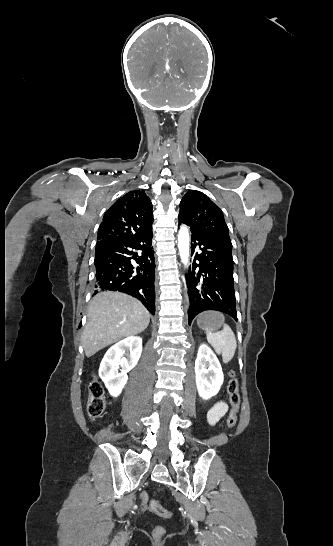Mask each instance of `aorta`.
<instances>
[{"label":"aorta","mask_w":333,"mask_h":546,"mask_svg":"<svg viewBox=\"0 0 333 546\" xmlns=\"http://www.w3.org/2000/svg\"><path fill=\"white\" fill-rule=\"evenodd\" d=\"M189 243V230L186 226L183 225L180 227L178 233V249L181 260L185 266H187L189 262Z\"/></svg>","instance_id":"1"}]
</instances>
